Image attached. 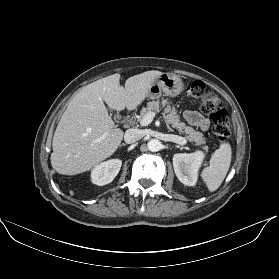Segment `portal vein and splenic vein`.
<instances>
[{"mask_svg":"<svg viewBox=\"0 0 279 279\" xmlns=\"http://www.w3.org/2000/svg\"><path fill=\"white\" fill-rule=\"evenodd\" d=\"M154 117H155V113L154 112L147 113L143 117V119L140 121V125L143 126V127L149 125L153 121Z\"/></svg>","mask_w":279,"mask_h":279,"instance_id":"1","label":"portal vein and splenic vein"}]
</instances>
